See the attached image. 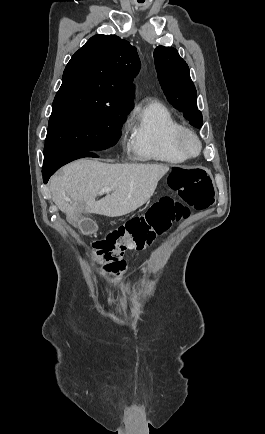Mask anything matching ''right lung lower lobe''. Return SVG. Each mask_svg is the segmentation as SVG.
<instances>
[{
	"label": "right lung lower lobe",
	"instance_id": "right-lung-lower-lobe-1",
	"mask_svg": "<svg viewBox=\"0 0 265 434\" xmlns=\"http://www.w3.org/2000/svg\"><path fill=\"white\" fill-rule=\"evenodd\" d=\"M84 157H99L96 152H78V153H66L50 156L44 159L42 175L44 183H47L50 176L55 173L61 166Z\"/></svg>",
	"mask_w": 265,
	"mask_h": 434
}]
</instances>
